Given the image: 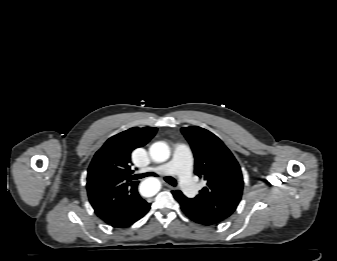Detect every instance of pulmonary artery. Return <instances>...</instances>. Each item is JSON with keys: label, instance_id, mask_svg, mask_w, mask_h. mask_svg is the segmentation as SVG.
<instances>
[{"label": "pulmonary artery", "instance_id": "1", "mask_svg": "<svg viewBox=\"0 0 337 261\" xmlns=\"http://www.w3.org/2000/svg\"><path fill=\"white\" fill-rule=\"evenodd\" d=\"M191 166L192 152L188 145L180 143L175 147L173 157L168 163L151 170L162 175H177L183 192L193 197L197 189L191 178Z\"/></svg>", "mask_w": 337, "mask_h": 261}]
</instances>
